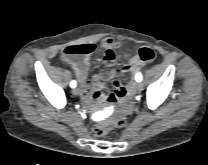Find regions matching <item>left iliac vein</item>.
Wrapping results in <instances>:
<instances>
[{
    "instance_id": "1",
    "label": "left iliac vein",
    "mask_w": 208,
    "mask_h": 165,
    "mask_svg": "<svg viewBox=\"0 0 208 165\" xmlns=\"http://www.w3.org/2000/svg\"><path fill=\"white\" fill-rule=\"evenodd\" d=\"M136 88H137L138 90H143V83H142V82H137V83H136Z\"/></svg>"
}]
</instances>
